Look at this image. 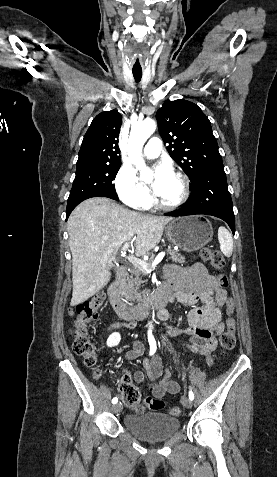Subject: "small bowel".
I'll list each match as a JSON object with an SVG mask.
<instances>
[{
  "label": "small bowel",
  "mask_w": 277,
  "mask_h": 477,
  "mask_svg": "<svg viewBox=\"0 0 277 477\" xmlns=\"http://www.w3.org/2000/svg\"><path fill=\"white\" fill-rule=\"evenodd\" d=\"M166 283L162 291L170 293L178 302L193 306L201 301V306L192 308L188 314L189 327L179 329L167 326L169 336L184 335L188 338L185 345L192 351L199 352L206 356L208 365H212L210 357L211 351L216 348L217 337L225 330L223 321V305L229 299L226 290L220 285L217 278L210 275L201 263L190 266H179L170 264L164 269ZM163 323L168 318L167 312H162L158 316ZM228 326V325H227ZM122 327L134 328V322L113 323L109 329L117 330ZM144 345L141 341H133L132 348L124 353V358L134 360L144 353ZM146 375L150 380V392L152 398L161 399L166 394H176L180 390L178 382L173 380L169 369H163L161 359L158 355L143 361ZM137 383L145 380V373L137 371L133 375ZM129 380L130 375L126 373L123 381Z\"/></svg>",
  "instance_id": "1"
}]
</instances>
